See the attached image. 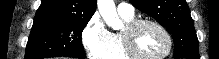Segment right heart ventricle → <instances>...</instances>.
<instances>
[{"mask_svg": "<svg viewBox=\"0 0 219 59\" xmlns=\"http://www.w3.org/2000/svg\"><path fill=\"white\" fill-rule=\"evenodd\" d=\"M121 17L126 24L135 20L134 15ZM103 59H131L124 51L121 32L111 33L109 48Z\"/></svg>", "mask_w": 219, "mask_h": 59, "instance_id": "e07e8e85", "label": "right heart ventricle"}]
</instances>
